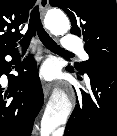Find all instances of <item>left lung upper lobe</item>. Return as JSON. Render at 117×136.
<instances>
[{
  "instance_id": "obj_1",
  "label": "left lung upper lobe",
  "mask_w": 117,
  "mask_h": 136,
  "mask_svg": "<svg viewBox=\"0 0 117 136\" xmlns=\"http://www.w3.org/2000/svg\"><path fill=\"white\" fill-rule=\"evenodd\" d=\"M49 3L64 10L71 20V33L84 38L89 60L76 63V69L86 72L93 64H117L115 0H49Z\"/></svg>"
}]
</instances>
